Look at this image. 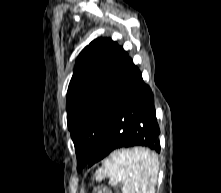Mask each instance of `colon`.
Listing matches in <instances>:
<instances>
[{
  "mask_svg": "<svg viewBox=\"0 0 221 193\" xmlns=\"http://www.w3.org/2000/svg\"><path fill=\"white\" fill-rule=\"evenodd\" d=\"M93 193H106V189L104 187H98Z\"/></svg>",
  "mask_w": 221,
  "mask_h": 193,
  "instance_id": "1",
  "label": "colon"
}]
</instances>
